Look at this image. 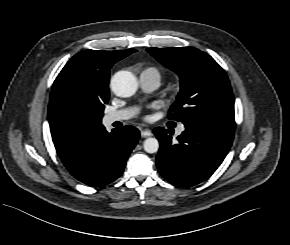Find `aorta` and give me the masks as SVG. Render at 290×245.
<instances>
[{
	"label": "aorta",
	"instance_id": "obj_1",
	"mask_svg": "<svg viewBox=\"0 0 290 245\" xmlns=\"http://www.w3.org/2000/svg\"><path fill=\"white\" fill-rule=\"evenodd\" d=\"M111 88L119 97H130L135 94L138 82L135 75L129 71H119L111 79ZM144 150L147 153H156L159 149V142L156 138H147L144 143Z\"/></svg>",
	"mask_w": 290,
	"mask_h": 245
}]
</instances>
